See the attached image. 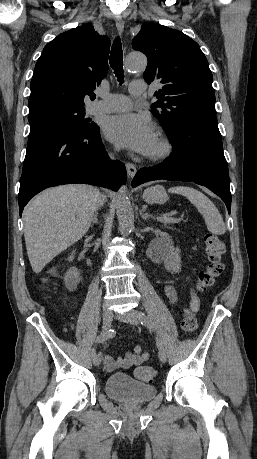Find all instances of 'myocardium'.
Listing matches in <instances>:
<instances>
[{
	"mask_svg": "<svg viewBox=\"0 0 257 459\" xmlns=\"http://www.w3.org/2000/svg\"><path fill=\"white\" fill-rule=\"evenodd\" d=\"M158 150L147 155L148 160L151 162H162L169 158L173 152V146L170 140L162 133L158 132Z\"/></svg>",
	"mask_w": 257,
	"mask_h": 459,
	"instance_id": "obj_1",
	"label": "myocardium"
}]
</instances>
